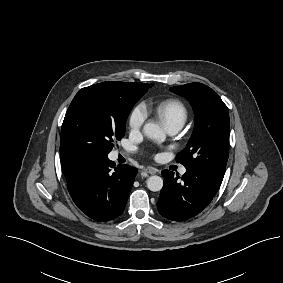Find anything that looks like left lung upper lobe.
<instances>
[{"label":"left lung upper lobe","mask_w":283,"mask_h":283,"mask_svg":"<svg viewBox=\"0 0 283 283\" xmlns=\"http://www.w3.org/2000/svg\"><path fill=\"white\" fill-rule=\"evenodd\" d=\"M170 90L186 97L196 116L195 130L187 147L178 153L177 161L186 170L220 187L228 160L229 112L210 87L201 83L175 86Z\"/></svg>","instance_id":"left-lung-upper-lobe-1"}]
</instances>
